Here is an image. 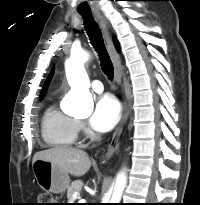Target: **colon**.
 Listing matches in <instances>:
<instances>
[{"label": "colon", "instance_id": "colon-1", "mask_svg": "<svg viewBox=\"0 0 200 205\" xmlns=\"http://www.w3.org/2000/svg\"><path fill=\"white\" fill-rule=\"evenodd\" d=\"M52 196L48 193H41L38 197L37 205H53Z\"/></svg>", "mask_w": 200, "mask_h": 205}]
</instances>
